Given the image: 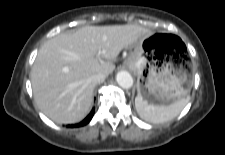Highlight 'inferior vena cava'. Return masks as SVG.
I'll list each match as a JSON object with an SVG mask.
<instances>
[{
	"mask_svg": "<svg viewBox=\"0 0 225 155\" xmlns=\"http://www.w3.org/2000/svg\"><path fill=\"white\" fill-rule=\"evenodd\" d=\"M105 75L103 73H98V74H95L93 77H92V82L94 84H97V83H100L102 82L104 79H105Z\"/></svg>",
	"mask_w": 225,
	"mask_h": 155,
	"instance_id": "602c4592",
	"label": "inferior vena cava"
}]
</instances>
